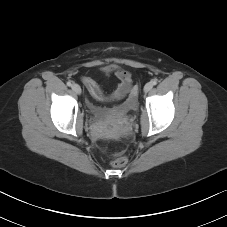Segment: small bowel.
Returning a JSON list of instances; mask_svg holds the SVG:
<instances>
[{
  "label": "small bowel",
  "mask_w": 227,
  "mask_h": 227,
  "mask_svg": "<svg viewBox=\"0 0 227 227\" xmlns=\"http://www.w3.org/2000/svg\"><path fill=\"white\" fill-rule=\"evenodd\" d=\"M105 72L114 73L117 79L119 80L117 88L109 97L110 99L122 100L125 97L133 94L132 79L128 71L121 68H117L114 65H110L105 68ZM82 81L92 98L98 101H105L109 99L104 95L98 84L92 78L83 77Z\"/></svg>",
  "instance_id": "1"
}]
</instances>
